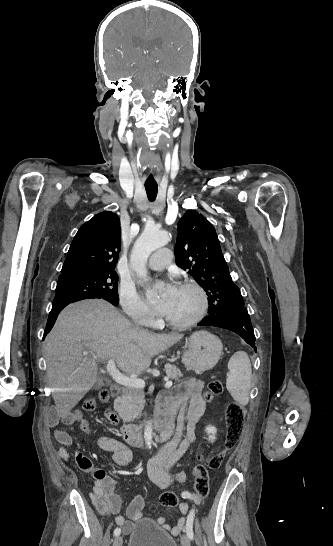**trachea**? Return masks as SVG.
Wrapping results in <instances>:
<instances>
[{
	"instance_id": "3493384b",
	"label": "trachea",
	"mask_w": 333,
	"mask_h": 546,
	"mask_svg": "<svg viewBox=\"0 0 333 546\" xmlns=\"http://www.w3.org/2000/svg\"><path fill=\"white\" fill-rule=\"evenodd\" d=\"M152 177V174L150 175ZM145 190L148 196V199L152 202L156 199L157 192H158V185L155 184H147L145 183Z\"/></svg>"
}]
</instances>
